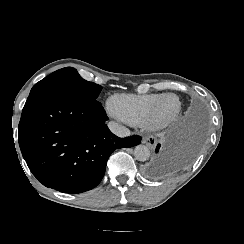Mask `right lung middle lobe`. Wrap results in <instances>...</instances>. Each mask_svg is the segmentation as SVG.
Segmentation results:
<instances>
[{
	"label": "right lung middle lobe",
	"mask_w": 244,
	"mask_h": 244,
	"mask_svg": "<svg viewBox=\"0 0 244 244\" xmlns=\"http://www.w3.org/2000/svg\"><path fill=\"white\" fill-rule=\"evenodd\" d=\"M102 87L93 82L84 80L72 67L57 70L31 89L35 93H60L77 97L82 100H96Z\"/></svg>",
	"instance_id": "obj_1"
}]
</instances>
